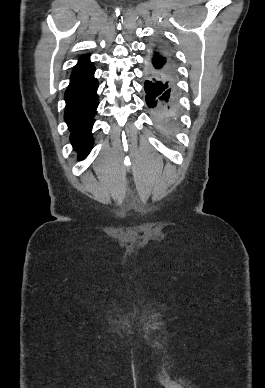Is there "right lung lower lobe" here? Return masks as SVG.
<instances>
[{
    "instance_id": "98d812e1",
    "label": "right lung lower lobe",
    "mask_w": 265,
    "mask_h": 388,
    "mask_svg": "<svg viewBox=\"0 0 265 388\" xmlns=\"http://www.w3.org/2000/svg\"><path fill=\"white\" fill-rule=\"evenodd\" d=\"M98 81L94 75L71 80L64 98L66 101L64 119L71 131L70 140L79 152V159H84L91 150V135L94 114L98 106L96 94Z\"/></svg>"
}]
</instances>
